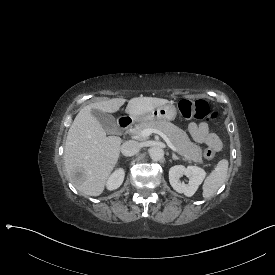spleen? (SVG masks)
<instances>
[{"label":"spleen","mask_w":275,"mask_h":275,"mask_svg":"<svg viewBox=\"0 0 275 275\" xmlns=\"http://www.w3.org/2000/svg\"><path fill=\"white\" fill-rule=\"evenodd\" d=\"M229 162L227 159L220 160L214 170L205 179L203 184V198H211L226 180Z\"/></svg>","instance_id":"obj_1"}]
</instances>
